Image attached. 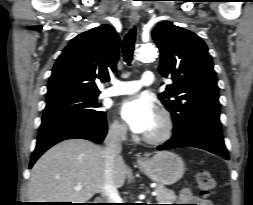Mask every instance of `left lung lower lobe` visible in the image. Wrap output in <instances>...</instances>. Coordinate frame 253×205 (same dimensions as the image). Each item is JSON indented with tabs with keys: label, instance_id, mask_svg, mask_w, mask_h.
Listing matches in <instances>:
<instances>
[{
	"label": "left lung lower lobe",
	"instance_id": "obj_1",
	"mask_svg": "<svg viewBox=\"0 0 253 205\" xmlns=\"http://www.w3.org/2000/svg\"><path fill=\"white\" fill-rule=\"evenodd\" d=\"M179 147H196L229 159L222 137L221 122L217 119L201 118L185 131L174 130L172 138L157 149L168 150Z\"/></svg>",
	"mask_w": 253,
	"mask_h": 205
}]
</instances>
